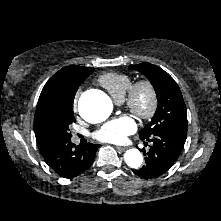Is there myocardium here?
Segmentation results:
<instances>
[{"instance_id": "myocardium-1", "label": "myocardium", "mask_w": 221, "mask_h": 221, "mask_svg": "<svg viewBox=\"0 0 221 221\" xmlns=\"http://www.w3.org/2000/svg\"><path fill=\"white\" fill-rule=\"evenodd\" d=\"M142 92H145L147 95V104L145 106H142L139 102V95ZM123 100L126 108L142 120L151 119L158 108L156 88L148 79H141L132 83Z\"/></svg>"}]
</instances>
